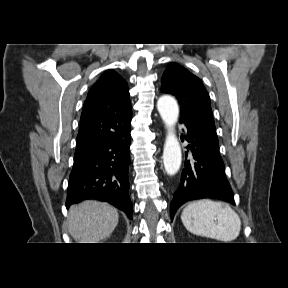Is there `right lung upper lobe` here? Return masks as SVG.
Wrapping results in <instances>:
<instances>
[{
	"instance_id": "cb5924a9",
	"label": "right lung upper lobe",
	"mask_w": 288,
	"mask_h": 288,
	"mask_svg": "<svg viewBox=\"0 0 288 288\" xmlns=\"http://www.w3.org/2000/svg\"><path fill=\"white\" fill-rule=\"evenodd\" d=\"M130 94L126 81L115 71H105L92 86L80 119L75 155L112 138L130 126Z\"/></svg>"
}]
</instances>
